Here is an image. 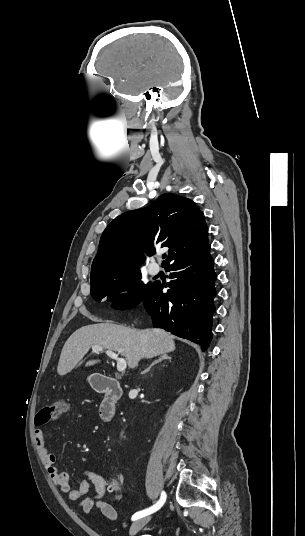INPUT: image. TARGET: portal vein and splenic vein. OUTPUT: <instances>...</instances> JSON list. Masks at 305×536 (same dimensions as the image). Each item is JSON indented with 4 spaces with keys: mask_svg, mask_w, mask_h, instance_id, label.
<instances>
[{
    "mask_svg": "<svg viewBox=\"0 0 305 536\" xmlns=\"http://www.w3.org/2000/svg\"><path fill=\"white\" fill-rule=\"evenodd\" d=\"M92 352H104V350L102 346H92ZM106 354L109 356V358H112V360H116L118 372H123V370H126L127 364L123 358H118L117 354H114V352H111V350H106Z\"/></svg>",
    "mask_w": 305,
    "mask_h": 536,
    "instance_id": "1",
    "label": "portal vein and splenic vein"
}]
</instances>
